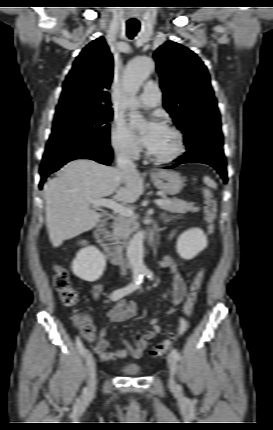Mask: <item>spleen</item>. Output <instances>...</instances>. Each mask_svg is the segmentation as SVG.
<instances>
[{"label":"spleen","mask_w":273,"mask_h":430,"mask_svg":"<svg viewBox=\"0 0 273 430\" xmlns=\"http://www.w3.org/2000/svg\"><path fill=\"white\" fill-rule=\"evenodd\" d=\"M203 181H204V183H205L206 185H208L209 187L214 188V189H216V188H217V184H216V182H215L213 179H211L210 177L205 176V177L203 178Z\"/></svg>","instance_id":"3e777b00"}]
</instances>
